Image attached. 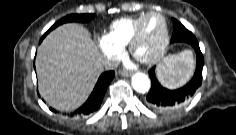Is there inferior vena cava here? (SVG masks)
<instances>
[{
    "label": "inferior vena cava",
    "mask_w": 236,
    "mask_h": 135,
    "mask_svg": "<svg viewBox=\"0 0 236 135\" xmlns=\"http://www.w3.org/2000/svg\"><path fill=\"white\" fill-rule=\"evenodd\" d=\"M103 67L106 70H111L117 67V63L111 59H104L103 60Z\"/></svg>",
    "instance_id": "1"
}]
</instances>
